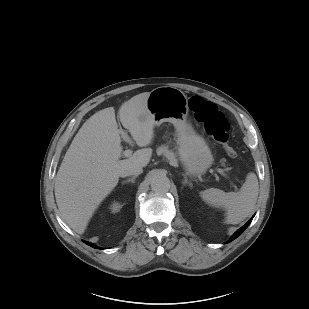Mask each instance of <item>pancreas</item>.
Wrapping results in <instances>:
<instances>
[{
    "instance_id": "1",
    "label": "pancreas",
    "mask_w": 309,
    "mask_h": 309,
    "mask_svg": "<svg viewBox=\"0 0 309 309\" xmlns=\"http://www.w3.org/2000/svg\"><path fill=\"white\" fill-rule=\"evenodd\" d=\"M157 154L163 155L164 157H166L169 163L172 165H176L178 162L175 153L169 150L167 146L162 145L158 147Z\"/></svg>"
}]
</instances>
